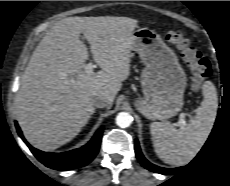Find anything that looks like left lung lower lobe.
<instances>
[{
  "instance_id": "1",
  "label": "left lung lower lobe",
  "mask_w": 230,
  "mask_h": 186,
  "mask_svg": "<svg viewBox=\"0 0 230 186\" xmlns=\"http://www.w3.org/2000/svg\"><path fill=\"white\" fill-rule=\"evenodd\" d=\"M135 152H136V156L139 160V162L148 170L156 172V173H160V174H164V175H171V174H175L177 173L180 169H182L183 167H179V168H162V167H158L152 163H150L149 161H147L144 156L141 153L140 147H139V143L138 140H135ZM186 168V167H185ZM183 168V169H185Z\"/></svg>"
}]
</instances>
